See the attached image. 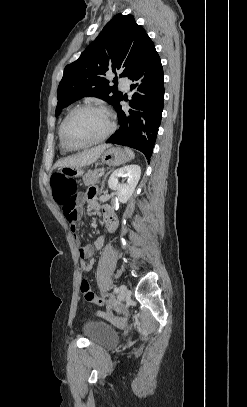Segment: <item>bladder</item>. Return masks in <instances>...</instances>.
<instances>
[{
  "instance_id": "31cf9c89",
  "label": "bladder",
  "mask_w": 247,
  "mask_h": 407,
  "mask_svg": "<svg viewBox=\"0 0 247 407\" xmlns=\"http://www.w3.org/2000/svg\"><path fill=\"white\" fill-rule=\"evenodd\" d=\"M84 334L86 339L93 344L106 348H111L118 343L117 332L106 324L96 323L88 320L84 325Z\"/></svg>"
}]
</instances>
